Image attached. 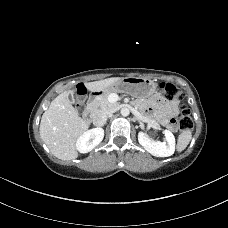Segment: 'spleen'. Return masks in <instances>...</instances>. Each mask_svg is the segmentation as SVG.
Here are the masks:
<instances>
[{"instance_id": "1", "label": "spleen", "mask_w": 228, "mask_h": 228, "mask_svg": "<svg viewBox=\"0 0 228 228\" xmlns=\"http://www.w3.org/2000/svg\"><path fill=\"white\" fill-rule=\"evenodd\" d=\"M192 139V132L190 129H184L178 136V142H177V151L181 152L183 151L189 144V142Z\"/></svg>"}]
</instances>
